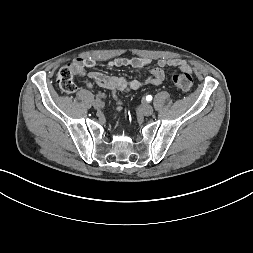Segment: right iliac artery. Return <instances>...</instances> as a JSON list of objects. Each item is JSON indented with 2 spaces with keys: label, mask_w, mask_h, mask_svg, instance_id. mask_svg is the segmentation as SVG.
<instances>
[{
  "label": "right iliac artery",
  "mask_w": 253,
  "mask_h": 253,
  "mask_svg": "<svg viewBox=\"0 0 253 253\" xmlns=\"http://www.w3.org/2000/svg\"><path fill=\"white\" fill-rule=\"evenodd\" d=\"M104 98H106V95L104 93H99L96 95V99L100 100V99H104Z\"/></svg>",
  "instance_id": "1"
}]
</instances>
